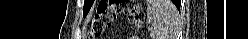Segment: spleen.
<instances>
[{"mask_svg": "<svg viewBox=\"0 0 249 39\" xmlns=\"http://www.w3.org/2000/svg\"><path fill=\"white\" fill-rule=\"evenodd\" d=\"M176 16V9L170 6V1L147 0V21L154 39H169L172 33V20Z\"/></svg>", "mask_w": 249, "mask_h": 39, "instance_id": "1", "label": "spleen"}]
</instances>
